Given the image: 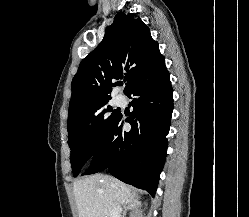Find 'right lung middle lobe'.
Here are the masks:
<instances>
[{"instance_id":"1","label":"right lung middle lobe","mask_w":249,"mask_h":217,"mask_svg":"<svg viewBox=\"0 0 249 217\" xmlns=\"http://www.w3.org/2000/svg\"><path fill=\"white\" fill-rule=\"evenodd\" d=\"M108 102L93 104L68 118V144L74 176L101 148L121 114Z\"/></svg>"}]
</instances>
